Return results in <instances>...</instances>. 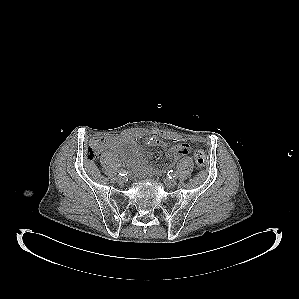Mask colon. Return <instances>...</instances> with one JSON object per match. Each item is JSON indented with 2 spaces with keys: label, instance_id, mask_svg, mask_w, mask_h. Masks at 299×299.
Wrapping results in <instances>:
<instances>
[{
  "label": "colon",
  "instance_id": "1",
  "mask_svg": "<svg viewBox=\"0 0 299 299\" xmlns=\"http://www.w3.org/2000/svg\"><path fill=\"white\" fill-rule=\"evenodd\" d=\"M107 140L103 138H95L91 141L88 152L91 159H95L100 156L103 148L106 145ZM195 163L199 169H202L206 165V155L201 149H196L193 153Z\"/></svg>",
  "mask_w": 299,
  "mask_h": 299
}]
</instances>
